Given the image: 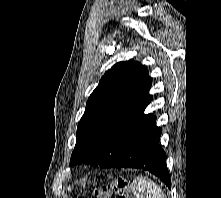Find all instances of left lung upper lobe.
Listing matches in <instances>:
<instances>
[{
    "label": "left lung upper lobe",
    "mask_w": 221,
    "mask_h": 198,
    "mask_svg": "<svg viewBox=\"0 0 221 198\" xmlns=\"http://www.w3.org/2000/svg\"><path fill=\"white\" fill-rule=\"evenodd\" d=\"M152 79L136 61L116 63L90 95L78 123L70 165L101 166L112 152L136 132L152 114H143L151 102Z\"/></svg>",
    "instance_id": "1"
}]
</instances>
